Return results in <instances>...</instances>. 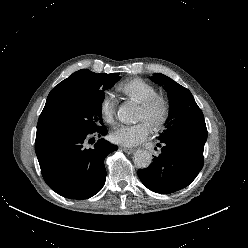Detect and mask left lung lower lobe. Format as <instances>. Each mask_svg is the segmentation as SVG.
<instances>
[{
    "label": "left lung lower lobe",
    "instance_id": "left-lung-lower-lobe-1",
    "mask_svg": "<svg viewBox=\"0 0 248 248\" xmlns=\"http://www.w3.org/2000/svg\"><path fill=\"white\" fill-rule=\"evenodd\" d=\"M161 154L152 165L138 170L142 183L151 191L168 194L188 186L203 167L204 148L183 139H168L158 144Z\"/></svg>",
    "mask_w": 248,
    "mask_h": 248
}]
</instances>
